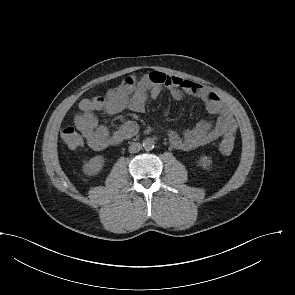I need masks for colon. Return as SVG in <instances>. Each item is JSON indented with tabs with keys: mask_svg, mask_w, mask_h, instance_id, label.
<instances>
[{
	"mask_svg": "<svg viewBox=\"0 0 295 295\" xmlns=\"http://www.w3.org/2000/svg\"><path fill=\"white\" fill-rule=\"evenodd\" d=\"M61 138L65 145L70 149H76L82 145V138L74 127H66L61 132ZM235 145L233 134H228L223 137L220 142V151L223 154H230Z\"/></svg>",
	"mask_w": 295,
	"mask_h": 295,
	"instance_id": "5ec220e1",
	"label": "colon"
}]
</instances>
